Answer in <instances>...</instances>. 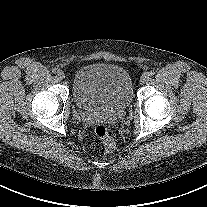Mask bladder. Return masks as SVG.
<instances>
[{"label":"bladder","instance_id":"bladder-1","mask_svg":"<svg viewBox=\"0 0 207 207\" xmlns=\"http://www.w3.org/2000/svg\"><path fill=\"white\" fill-rule=\"evenodd\" d=\"M72 91L76 105L84 112H115L131 103L133 83L125 68L93 63L76 71Z\"/></svg>","mask_w":207,"mask_h":207}]
</instances>
